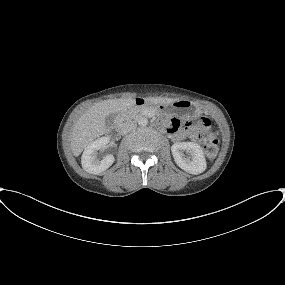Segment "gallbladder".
Listing matches in <instances>:
<instances>
[{"label":"gallbladder","mask_w":285,"mask_h":285,"mask_svg":"<svg viewBox=\"0 0 285 285\" xmlns=\"http://www.w3.org/2000/svg\"><path fill=\"white\" fill-rule=\"evenodd\" d=\"M115 118H116V115L113 114V113L107 115L106 118H105L106 126H111L114 123Z\"/></svg>","instance_id":"1"}]
</instances>
